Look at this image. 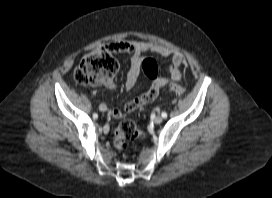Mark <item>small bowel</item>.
Wrapping results in <instances>:
<instances>
[{
    "label": "small bowel",
    "instance_id": "obj_1",
    "mask_svg": "<svg viewBox=\"0 0 272 198\" xmlns=\"http://www.w3.org/2000/svg\"><path fill=\"white\" fill-rule=\"evenodd\" d=\"M109 47L116 53L131 55L129 71L124 83V89L127 91L134 87L139 78L144 53H155L163 57H168L171 61L168 76L161 77L157 73L147 75L151 80L148 91L126 103L124 113L132 112L152 102L158 96L160 89L167 85L169 81H179L182 79L183 55L163 45L144 41H115L110 43ZM104 86L108 89H113L115 88V83L113 80H108L104 83ZM109 115L113 119H118L123 116V112L119 109H111Z\"/></svg>",
    "mask_w": 272,
    "mask_h": 198
}]
</instances>
